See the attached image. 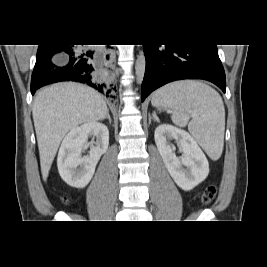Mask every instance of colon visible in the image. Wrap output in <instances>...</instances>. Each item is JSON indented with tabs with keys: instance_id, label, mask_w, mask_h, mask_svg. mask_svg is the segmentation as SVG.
Here are the masks:
<instances>
[{
	"instance_id": "colon-1",
	"label": "colon",
	"mask_w": 267,
	"mask_h": 267,
	"mask_svg": "<svg viewBox=\"0 0 267 267\" xmlns=\"http://www.w3.org/2000/svg\"><path fill=\"white\" fill-rule=\"evenodd\" d=\"M216 192H217V190H216V187L214 185L208 186L206 188L205 192L203 193L202 202L204 204H209L210 202H212L216 196ZM63 200H64V202L69 201V199L67 197H65Z\"/></svg>"
}]
</instances>
